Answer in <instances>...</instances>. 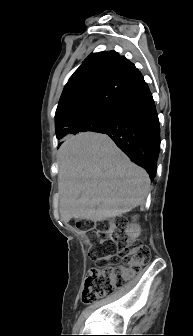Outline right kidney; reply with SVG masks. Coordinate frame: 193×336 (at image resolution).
I'll use <instances>...</instances> for the list:
<instances>
[{
  "instance_id": "ca27d5eb",
  "label": "right kidney",
  "mask_w": 193,
  "mask_h": 336,
  "mask_svg": "<svg viewBox=\"0 0 193 336\" xmlns=\"http://www.w3.org/2000/svg\"><path fill=\"white\" fill-rule=\"evenodd\" d=\"M137 220L136 217L133 218L134 223H131L126 230V233L130 237H138L140 235L141 229L139 224L135 223Z\"/></svg>"
}]
</instances>
